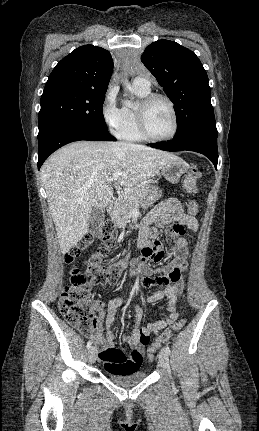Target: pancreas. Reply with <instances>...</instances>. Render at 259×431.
<instances>
[{
  "label": "pancreas",
  "instance_id": "cf45deb5",
  "mask_svg": "<svg viewBox=\"0 0 259 431\" xmlns=\"http://www.w3.org/2000/svg\"><path fill=\"white\" fill-rule=\"evenodd\" d=\"M149 191V186H137L128 189L118 200L111 212L112 221L119 227L124 228L131 212L141 205Z\"/></svg>",
  "mask_w": 259,
  "mask_h": 431
}]
</instances>
